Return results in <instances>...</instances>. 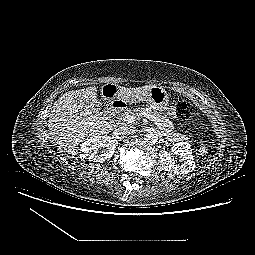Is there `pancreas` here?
I'll return each instance as SVG.
<instances>
[{"label":"pancreas","instance_id":"pancreas-1","mask_svg":"<svg viewBox=\"0 0 255 255\" xmlns=\"http://www.w3.org/2000/svg\"><path fill=\"white\" fill-rule=\"evenodd\" d=\"M144 114L151 115L159 121L161 124L162 135L166 140L172 143H177L179 141L189 142V139L185 135L177 133L172 129V125L168 120L156 114L150 108H136L127 112V115H134L139 117L144 116Z\"/></svg>","mask_w":255,"mask_h":255}]
</instances>
